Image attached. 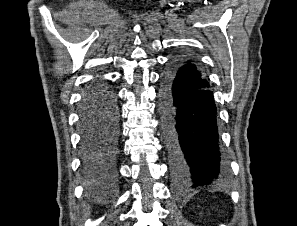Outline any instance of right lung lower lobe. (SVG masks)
I'll return each instance as SVG.
<instances>
[{"mask_svg": "<svg viewBox=\"0 0 297 226\" xmlns=\"http://www.w3.org/2000/svg\"><path fill=\"white\" fill-rule=\"evenodd\" d=\"M82 172L89 187L116 177L119 112L114 89L95 81L83 95L79 113Z\"/></svg>", "mask_w": 297, "mask_h": 226, "instance_id": "obj_1", "label": "right lung lower lobe"}]
</instances>
